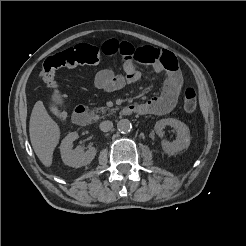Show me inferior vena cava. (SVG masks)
<instances>
[{"mask_svg":"<svg viewBox=\"0 0 246 246\" xmlns=\"http://www.w3.org/2000/svg\"><path fill=\"white\" fill-rule=\"evenodd\" d=\"M100 130L103 132H108L112 129L113 123L109 120L100 123Z\"/></svg>","mask_w":246,"mask_h":246,"instance_id":"1","label":"inferior vena cava"}]
</instances>
